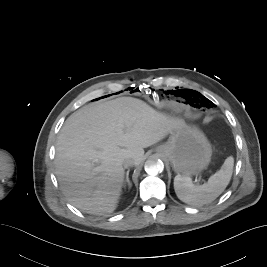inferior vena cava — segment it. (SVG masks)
I'll use <instances>...</instances> for the list:
<instances>
[{
    "label": "inferior vena cava",
    "instance_id": "602c4592",
    "mask_svg": "<svg viewBox=\"0 0 267 267\" xmlns=\"http://www.w3.org/2000/svg\"><path fill=\"white\" fill-rule=\"evenodd\" d=\"M133 165H135V162H134L132 159H130V158H126V159L123 161V166H124L125 168H128V167L133 166Z\"/></svg>",
    "mask_w": 267,
    "mask_h": 267
}]
</instances>
